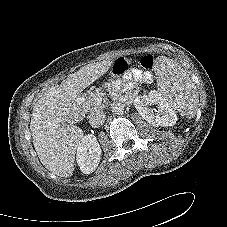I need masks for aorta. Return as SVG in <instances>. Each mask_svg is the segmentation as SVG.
I'll use <instances>...</instances> for the list:
<instances>
[{
	"label": "aorta",
	"mask_w": 227,
	"mask_h": 227,
	"mask_svg": "<svg viewBox=\"0 0 227 227\" xmlns=\"http://www.w3.org/2000/svg\"><path fill=\"white\" fill-rule=\"evenodd\" d=\"M111 111L112 113L119 115L124 111V105L120 102H114L111 105Z\"/></svg>",
	"instance_id": "762f6f07"
}]
</instances>
